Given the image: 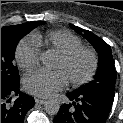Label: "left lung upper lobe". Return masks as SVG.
<instances>
[{"mask_svg":"<svg viewBox=\"0 0 123 123\" xmlns=\"http://www.w3.org/2000/svg\"><path fill=\"white\" fill-rule=\"evenodd\" d=\"M77 33L82 34V29L70 24ZM86 38L99 55L98 70L95 79L79 90V92L102 93L114 97L116 72L112 58L111 47L100 37L90 31H84Z\"/></svg>","mask_w":123,"mask_h":123,"instance_id":"obj_1","label":"left lung upper lobe"}]
</instances>
